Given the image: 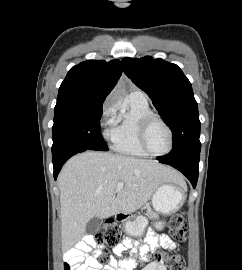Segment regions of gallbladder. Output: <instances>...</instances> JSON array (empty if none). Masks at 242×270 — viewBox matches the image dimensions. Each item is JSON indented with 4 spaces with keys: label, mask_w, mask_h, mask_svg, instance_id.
Listing matches in <instances>:
<instances>
[{
    "label": "gallbladder",
    "mask_w": 242,
    "mask_h": 270,
    "mask_svg": "<svg viewBox=\"0 0 242 270\" xmlns=\"http://www.w3.org/2000/svg\"><path fill=\"white\" fill-rule=\"evenodd\" d=\"M101 225V219L98 217H93L92 219L89 220L86 226V231L88 233H94L98 230V228Z\"/></svg>",
    "instance_id": "bac80fb5"
}]
</instances>
